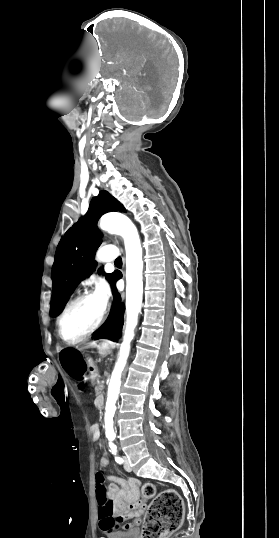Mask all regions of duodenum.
<instances>
[{"label": "duodenum", "instance_id": "1", "mask_svg": "<svg viewBox=\"0 0 279 538\" xmlns=\"http://www.w3.org/2000/svg\"><path fill=\"white\" fill-rule=\"evenodd\" d=\"M99 369V366L97 364L90 365V372H91V382H96V377L98 376L97 370ZM104 400V397L102 395H99L97 397V400L94 402V405L98 407L100 411H103L105 409V406L102 404V401Z\"/></svg>", "mask_w": 279, "mask_h": 538}]
</instances>
